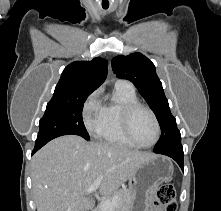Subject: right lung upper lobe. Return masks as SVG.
Listing matches in <instances>:
<instances>
[{
	"label": "right lung upper lobe",
	"instance_id": "right-lung-upper-lobe-1",
	"mask_svg": "<svg viewBox=\"0 0 221 211\" xmlns=\"http://www.w3.org/2000/svg\"><path fill=\"white\" fill-rule=\"evenodd\" d=\"M108 63L103 58L75 61L62 72L53 97H74L91 94L106 79Z\"/></svg>",
	"mask_w": 221,
	"mask_h": 211
}]
</instances>
